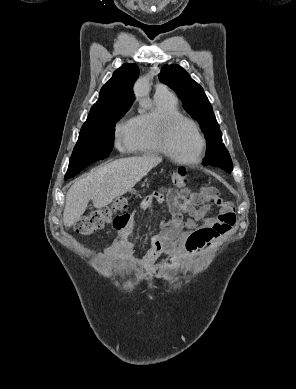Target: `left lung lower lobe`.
Masks as SVG:
<instances>
[{
    "label": "left lung lower lobe",
    "instance_id": "0a47b994",
    "mask_svg": "<svg viewBox=\"0 0 296 389\" xmlns=\"http://www.w3.org/2000/svg\"><path fill=\"white\" fill-rule=\"evenodd\" d=\"M224 153H228V151L225 149V150H224Z\"/></svg>",
    "mask_w": 296,
    "mask_h": 389
}]
</instances>
